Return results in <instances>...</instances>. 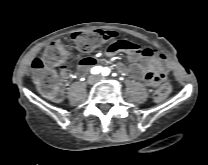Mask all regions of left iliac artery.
Masks as SVG:
<instances>
[{"label": "left iliac artery", "instance_id": "44dca946", "mask_svg": "<svg viewBox=\"0 0 208 165\" xmlns=\"http://www.w3.org/2000/svg\"><path fill=\"white\" fill-rule=\"evenodd\" d=\"M109 72H110L109 68L105 67V68L103 69L102 74H103V76H107V75L109 74Z\"/></svg>", "mask_w": 208, "mask_h": 165}]
</instances>
